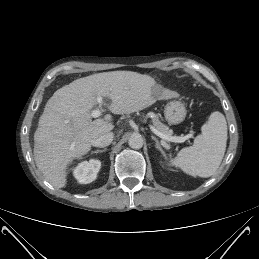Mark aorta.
Wrapping results in <instances>:
<instances>
[{
    "instance_id": "1",
    "label": "aorta",
    "mask_w": 259,
    "mask_h": 259,
    "mask_svg": "<svg viewBox=\"0 0 259 259\" xmlns=\"http://www.w3.org/2000/svg\"><path fill=\"white\" fill-rule=\"evenodd\" d=\"M128 144L132 149H140L143 146V138L140 134H132L128 140Z\"/></svg>"
}]
</instances>
